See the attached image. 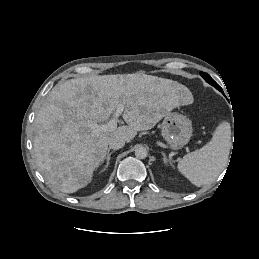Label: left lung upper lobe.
I'll return each instance as SVG.
<instances>
[{"label":"left lung upper lobe","instance_id":"obj_1","mask_svg":"<svg viewBox=\"0 0 259 259\" xmlns=\"http://www.w3.org/2000/svg\"><path fill=\"white\" fill-rule=\"evenodd\" d=\"M201 76L205 79L206 82L217 88L218 90L221 89V87L207 74L204 72H200Z\"/></svg>","mask_w":259,"mask_h":259}]
</instances>
